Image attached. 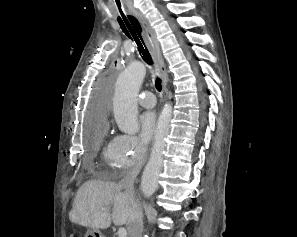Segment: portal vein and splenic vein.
<instances>
[{
	"label": "portal vein and splenic vein",
	"mask_w": 297,
	"mask_h": 237,
	"mask_svg": "<svg viewBox=\"0 0 297 237\" xmlns=\"http://www.w3.org/2000/svg\"><path fill=\"white\" fill-rule=\"evenodd\" d=\"M118 236L119 237H126L127 236V231L125 230V228H119Z\"/></svg>",
	"instance_id": "18ae733b"
}]
</instances>
